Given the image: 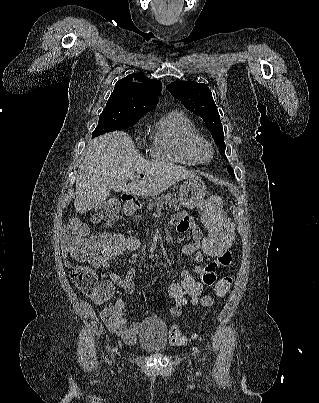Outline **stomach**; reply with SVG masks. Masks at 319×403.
<instances>
[{"label": "stomach", "instance_id": "obj_1", "mask_svg": "<svg viewBox=\"0 0 319 403\" xmlns=\"http://www.w3.org/2000/svg\"><path fill=\"white\" fill-rule=\"evenodd\" d=\"M206 195V186L198 178H188L180 187V202L187 209L197 207Z\"/></svg>", "mask_w": 319, "mask_h": 403}]
</instances>
